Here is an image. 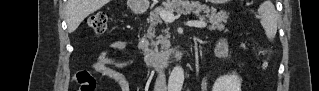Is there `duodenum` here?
Wrapping results in <instances>:
<instances>
[{
	"mask_svg": "<svg viewBox=\"0 0 319 91\" xmlns=\"http://www.w3.org/2000/svg\"><path fill=\"white\" fill-rule=\"evenodd\" d=\"M181 52L178 49H172L158 54H144V61L150 69H163L176 61Z\"/></svg>",
	"mask_w": 319,
	"mask_h": 91,
	"instance_id": "410a0bca",
	"label": "duodenum"
}]
</instances>
